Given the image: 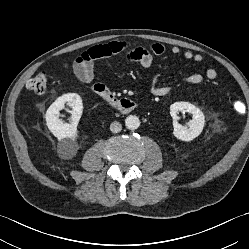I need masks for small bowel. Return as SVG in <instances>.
I'll return each mask as SVG.
<instances>
[{
	"label": "small bowel",
	"instance_id": "obj_1",
	"mask_svg": "<svg viewBox=\"0 0 249 249\" xmlns=\"http://www.w3.org/2000/svg\"><path fill=\"white\" fill-rule=\"evenodd\" d=\"M165 46L161 43L143 44L138 41L131 40H112L104 44L96 45L81 55H79L73 63V73L78 80L83 83H91L94 80V63L99 59H107L113 56L122 55L128 63H138L142 68L150 70L153 65L154 56L165 53ZM173 55L180 53L178 46L170 49ZM183 57L194 62H201L203 56L192 51H185ZM217 77L215 69H208L205 76L199 73L188 75L184 81L188 84L196 85L204 81L214 80ZM160 74L154 73L151 77L150 92L154 96L162 97L170 93L172 87L170 85H162L159 83ZM94 90H109L103 83H95Z\"/></svg>",
	"mask_w": 249,
	"mask_h": 249
}]
</instances>
